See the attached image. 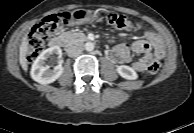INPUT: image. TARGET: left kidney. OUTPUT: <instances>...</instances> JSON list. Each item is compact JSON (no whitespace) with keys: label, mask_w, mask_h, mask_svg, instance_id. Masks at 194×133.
I'll use <instances>...</instances> for the list:
<instances>
[{"label":"left kidney","mask_w":194,"mask_h":133,"mask_svg":"<svg viewBox=\"0 0 194 133\" xmlns=\"http://www.w3.org/2000/svg\"><path fill=\"white\" fill-rule=\"evenodd\" d=\"M118 74L127 79V80H135L137 79V73L129 66L121 65L117 67Z\"/></svg>","instance_id":"obj_1"}]
</instances>
